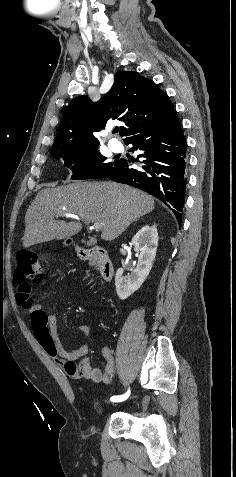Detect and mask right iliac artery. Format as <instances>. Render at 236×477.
<instances>
[{
	"mask_svg": "<svg viewBox=\"0 0 236 477\" xmlns=\"http://www.w3.org/2000/svg\"><path fill=\"white\" fill-rule=\"evenodd\" d=\"M129 395H130V389H129L125 394H123V395L112 396V397L110 398V401H109V402H110V404H112V405H118V404L120 405V404L126 402V400H127V398L129 397Z\"/></svg>",
	"mask_w": 236,
	"mask_h": 477,
	"instance_id": "82829eb1",
	"label": "right iliac artery"
}]
</instances>
